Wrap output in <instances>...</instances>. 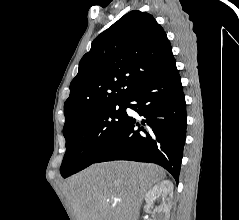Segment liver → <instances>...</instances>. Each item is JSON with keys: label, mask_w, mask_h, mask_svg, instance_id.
Segmentation results:
<instances>
[{"label": "liver", "mask_w": 239, "mask_h": 220, "mask_svg": "<svg viewBox=\"0 0 239 220\" xmlns=\"http://www.w3.org/2000/svg\"><path fill=\"white\" fill-rule=\"evenodd\" d=\"M165 176L157 165L111 161L72 176L63 190L76 220H138L147 191Z\"/></svg>", "instance_id": "liver-1"}]
</instances>
